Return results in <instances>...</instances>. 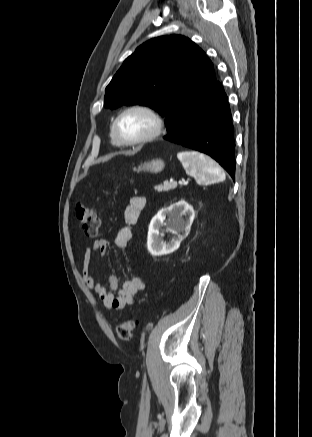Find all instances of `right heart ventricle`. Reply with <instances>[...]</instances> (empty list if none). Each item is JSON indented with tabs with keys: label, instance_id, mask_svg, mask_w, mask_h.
Here are the masks:
<instances>
[{
	"label": "right heart ventricle",
	"instance_id": "obj_1",
	"mask_svg": "<svg viewBox=\"0 0 312 437\" xmlns=\"http://www.w3.org/2000/svg\"><path fill=\"white\" fill-rule=\"evenodd\" d=\"M110 141L113 146L119 147L122 145L114 132L113 125L110 128Z\"/></svg>",
	"mask_w": 312,
	"mask_h": 437
}]
</instances>
